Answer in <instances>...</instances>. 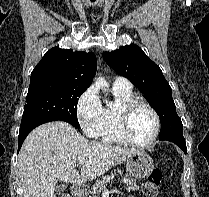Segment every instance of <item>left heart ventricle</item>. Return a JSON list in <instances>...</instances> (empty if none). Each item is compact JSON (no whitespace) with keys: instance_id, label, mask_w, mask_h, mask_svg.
Wrapping results in <instances>:
<instances>
[{"instance_id":"b2bd125f","label":"left heart ventricle","mask_w":209,"mask_h":197,"mask_svg":"<svg viewBox=\"0 0 209 197\" xmlns=\"http://www.w3.org/2000/svg\"><path fill=\"white\" fill-rule=\"evenodd\" d=\"M155 127L152 113L143 105L135 107L130 115V132L132 137L139 142L148 141Z\"/></svg>"}]
</instances>
